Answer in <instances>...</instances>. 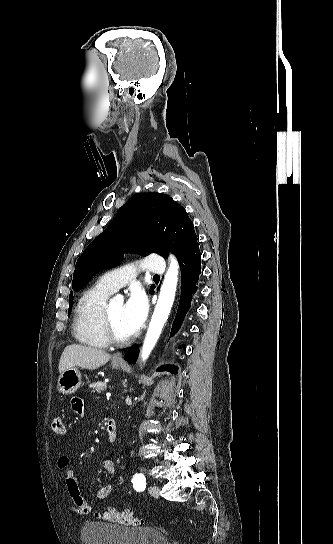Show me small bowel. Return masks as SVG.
Returning <instances> with one entry per match:
<instances>
[{"instance_id": "obj_1", "label": "small bowel", "mask_w": 333, "mask_h": 544, "mask_svg": "<svg viewBox=\"0 0 333 544\" xmlns=\"http://www.w3.org/2000/svg\"><path fill=\"white\" fill-rule=\"evenodd\" d=\"M72 410L80 416H83L85 413V407L84 403L79 398H74L71 402ZM69 466V459L66 456H60L57 460V467L60 470H65L66 476H65V483L67 487V491L69 494V497L71 498L73 502L72 506V512L75 515H86L90 513L91 506L86 501V499L82 496L77 479L75 477V474L73 470L68 468ZM102 470L107 474H113L116 470L115 463L111 459H105L101 464ZM112 486L111 485H104L100 487L96 492V498L103 500L108 498L112 493Z\"/></svg>"}]
</instances>
